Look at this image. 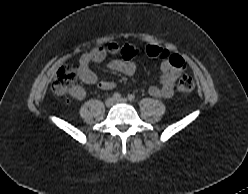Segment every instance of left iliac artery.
<instances>
[{"label":"left iliac artery","mask_w":248,"mask_h":194,"mask_svg":"<svg viewBox=\"0 0 248 194\" xmlns=\"http://www.w3.org/2000/svg\"><path fill=\"white\" fill-rule=\"evenodd\" d=\"M128 100L129 101H134L135 100V96L133 94H129L128 95Z\"/></svg>","instance_id":"44dca946"}]
</instances>
